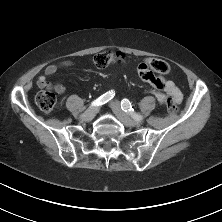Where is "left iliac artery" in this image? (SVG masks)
<instances>
[{
    "label": "left iliac artery",
    "instance_id": "obj_1",
    "mask_svg": "<svg viewBox=\"0 0 222 222\" xmlns=\"http://www.w3.org/2000/svg\"><path fill=\"white\" fill-rule=\"evenodd\" d=\"M121 108L123 111L128 113L134 120L141 121L143 119V116H141L140 114H137L134 111V109L131 105V102L128 99H123L121 101Z\"/></svg>",
    "mask_w": 222,
    "mask_h": 222
}]
</instances>
